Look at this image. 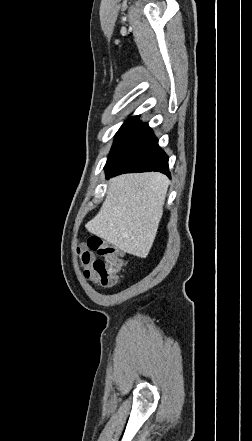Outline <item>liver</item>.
<instances>
[{
	"label": "liver",
	"instance_id": "obj_1",
	"mask_svg": "<svg viewBox=\"0 0 252 441\" xmlns=\"http://www.w3.org/2000/svg\"><path fill=\"white\" fill-rule=\"evenodd\" d=\"M168 186V178L157 172L111 179L102 207L86 229L128 254L145 258L157 234Z\"/></svg>",
	"mask_w": 252,
	"mask_h": 441
}]
</instances>
